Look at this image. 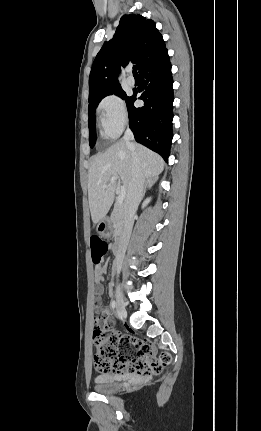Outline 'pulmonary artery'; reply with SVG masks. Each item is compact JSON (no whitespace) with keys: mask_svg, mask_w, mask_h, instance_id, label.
I'll return each mask as SVG.
<instances>
[{"mask_svg":"<svg viewBox=\"0 0 261 431\" xmlns=\"http://www.w3.org/2000/svg\"><path fill=\"white\" fill-rule=\"evenodd\" d=\"M127 83H128V85H130V86H133L134 84H135V79L133 78V76H128V78H127Z\"/></svg>","mask_w":261,"mask_h":431,"instance_id":"obj_1","label":"pulmonary artery"}]
</instances>
